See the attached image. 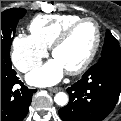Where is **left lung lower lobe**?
Here are the masks:
<instances>
[{
    "label": "left lung lower lobe",
    "instance_id": "1",
    "mask_svg": "<svg viewBox=\"0 0 121 121\" xmlns=\"http://www.w3.org/2000/svg\"><path fill=\"white\" fill-rule=\"evenodd\" d=\"M69 103L59 110L63 121H102L121 92V59L100 61L67 89Z\"/></svg>",
    "mask_w": 121,
    "mask_h": 121
}]
</instances>
